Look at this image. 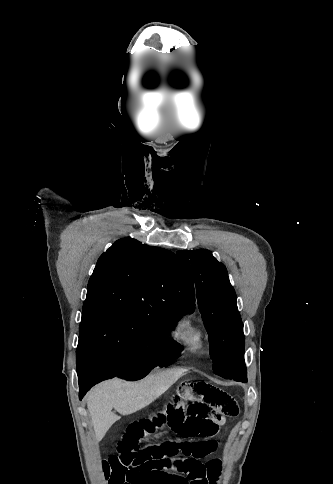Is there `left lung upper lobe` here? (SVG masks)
<instances>
[{"label": "left lung upper lobe", "instance_id": "5c2ea615", "mask_svg": "<svg viewBox=\"0 0 333 484\" xmlns=\"http://www.w3.org/2000/svg\"><path fill=\"white\" fill-rule=\"evenodd\" d=\"M191 272L197 301L211 344L214 373L247 380L246 370L237 362L244 352L243 324L236 304V294L227 269L206 249L177 251Z\"/></svg>", "mask_w": 333, "mask_h": 484}]
</instances>
